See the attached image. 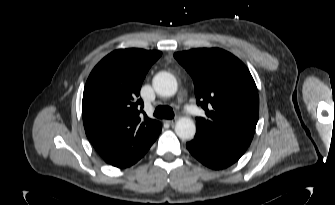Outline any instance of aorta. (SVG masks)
<instances>
[{
  "label": "aorta",
  "instance_id": "762f6f07",
  "mask_svg": "<svg viewBox=\"0 0 335 205\" xmlns=\"http://www.w3.org/2000/svg\"><path fill=\"white\" fill-rule=\"evenodd\" d=\"M153 88L158 95L171 97L176 94L178 84L176 78L168 72H159L153 79ZM175 132L182 140H191L195 136L196 126L192 119L181 117L175 125Z\"/></svg>",
  "mask_w": 335,
  "mask_h": 205
}]
</instances>
